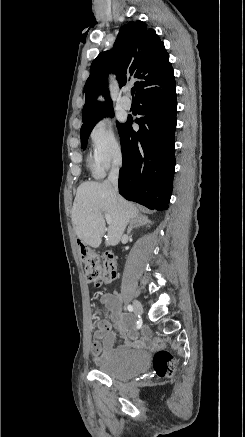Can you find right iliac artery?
I'll return each mask as SVG.
<instances>
[{"instance_id": "82829eb1", "label": "right iliac artery", "mask_w": 245, "mask_h": 437, "mask_svg": "<svg viewBox=\"0 0 245 437\" xmlns=\"http://www.w3.org/2000/svg\"><path fill=\"white\" fill-rule=\"evenodd\" d=\"M127 309H128L130 312H132V311L134 310L132 305H128V306H127Z\"/></svg>"}]
</instances>
